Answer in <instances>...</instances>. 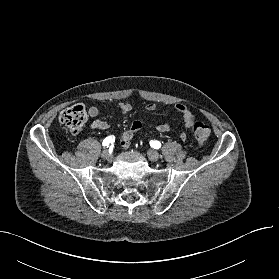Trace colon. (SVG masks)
Returning a JSON list of instances; mask_svg holds the SVG:
<instances>
[{
  "label": "colon",
  "mask_w": 279,
  "mask_h": 279,
  "mask_svg": "<svg viewBox=\"0 0 279 279\" xmlns=\"http://www.w3.org/2000/svg\"><path fill=\"white\" fill-rule=\"evenodd\" d=\"M59 119L72 133H77L87 120V111L82 104H75L64 109ZM193 132L198 146L203 147L210 135L209 127L202 122H196L193 126Z\"/></svg>",
  "instance_id": "1"
}]
</instances>
